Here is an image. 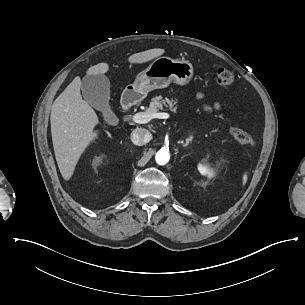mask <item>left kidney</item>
Wrapping results in <instances>:
<instances>
[{
    "label": "left kidney",
    "mask_w": 305,
    "mask_h": 305,
    "mask_svg": "<svg viewBox=\"0 0 305 305\" xmlns=\"http://www.w3.org/2000/svg\"><path fill=\"white\" fill-rule=\"evenodd\" d=\"M199 171L205 175H208L210 178L214 176V172L211 170V168L208 165H199Z\"/></svg>",
    "instance_id": "5707ae66"
}]
</instances>
